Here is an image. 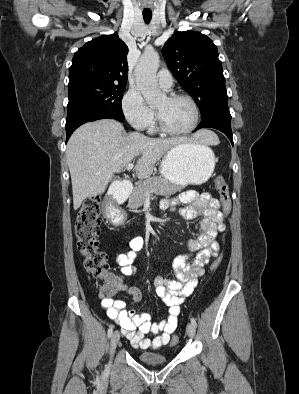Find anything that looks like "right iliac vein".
I'll return each mask as SVG.
<instances>
[{
  "label": "right iliac vein",
  "instance_id": "right-iliac-vein-1",
  "mask_svg": "<svg viewBox=\"0 0 299 394\" xmlns=\"http://www.w3.org/2000/svg\"><path fill=\"white\" fill-rule=\"evenodd\" d=\"M120 339V333L119 331H115L111 337V354L114 353L116 346L119 342Z\"/></svg>",
  "mask_w": 299,
  "mask_h": 394
}]
</instances>
